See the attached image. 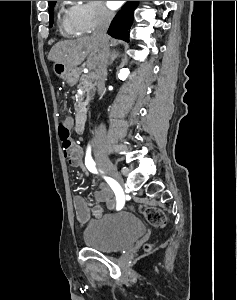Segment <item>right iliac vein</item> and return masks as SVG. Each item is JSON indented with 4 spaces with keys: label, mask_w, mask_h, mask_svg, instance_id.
I'll return each mask as SVG.
<instances>
[{
    "label": "right iliac vein",
    "mask_w": 237,
    "mask_h": 300,
    "mask_svg": "<svg viewBox=\"0 0 237 300\" xmlns=\"http://www.w3.org/2000/svg\"><path fill=\"white\" fill-rule=\"evenodd\" d=\"M96 160L98 165L108 174H110L119 185L123 186V181L120 178V175L114 166V164L110 161L108 155L106 154V149L99 147L96 151Z\"/></svg>",
    "instance_id": "1"
}]
</instances>
